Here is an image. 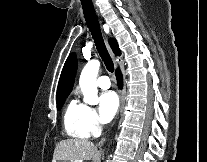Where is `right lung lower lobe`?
Returning a JSON list of instances; mask_svg holds the SVG:
<instances>
[{
	"label": "right lung lower lobe",
	"instance_id": "obj_1",
	"mask_svg": "<svg viewBox=\"0 0 207 162\" xmlns=\"http://www.w3.org/2000/svg\"><path fill=\"white\" fill-rule=\"evenodd\" d=\"M116 76H117L118 85H119V87L122 88L123 80H122V75L119 70L116 71Z\"/></svg>",
	"mask_w": 207,
	"mask_h": 162
}]
</instances>
